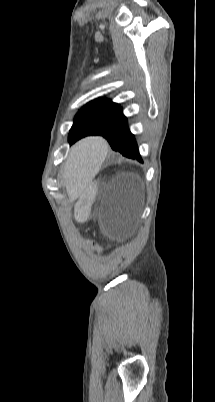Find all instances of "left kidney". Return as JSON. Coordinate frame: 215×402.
<instances>
[{
	"label": "left kidney",
	"mask_w": 215,
	"mask_h": 402,
	"mask_svg": "<svg viewBox=\"0 0 215 402\" xmlns=\"http://www.w3.org/2000/svg\"><path fill=\"white\" fill-rule=\"evenodd\" d=\"M99 187L96 184L89 186V191L84 193V198L87 200H77L76 201V216L75 219L77 222H88L90 216L88 214V209H92L94 203L91 199H93L94 194L98 192Z\"/></svg>",
	"instance_id": "5707ae66"
}]
</instances>
